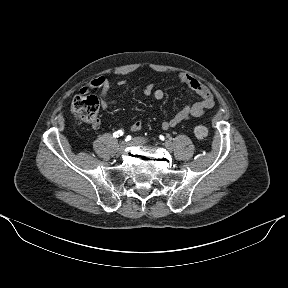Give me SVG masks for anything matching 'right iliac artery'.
I'll list each match as a JSON object with an SVG mask.
<instances>
[{"label":"right iliac artery","mask_w":288,"mask_h":288,"mask_svg":"<svg viewBox=\"0 0 288 288\" xmlns=\"http://www.w3.org/2000/svg\"><path fill=\"white\" fill-rule=\"evenodd\" d=\"M123 135V131L122 130H119V131H116L113 133V136L114 137H119V136H122Z\"/></svg>","instance_id":"right-iliac-artery-1"}]
</instances>
